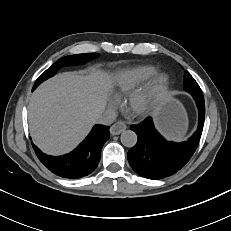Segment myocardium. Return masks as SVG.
<instances>
[{
    "label": "myocardium",
    "instance_id": "myocardium-1",
    "mask_svg": "<svg viewBox=\"0 0 231 231\" xmlns=\"http://www.w3.org/2000/svg\"><path fill=\"white\" fill-rule=\"evenodd\" d=\"M166 74H159L132 91L126 102L127 110L135 117L150 115L160 104L169 88Z\"/></svg>",
    "mask_w": 231,
    "mask_h": 231
}]
</instances>
